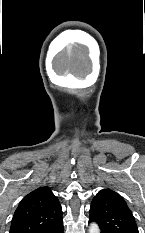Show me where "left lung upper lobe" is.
Listing matches in <instances>:
<instances>
[{"label":"left lung upper lobe","mask_w":145,"mask_h":233,"mask_svg":"<svg viewBox=\"0 0 145 233\" xmlns=\"http://www.w3.org/2000/svg\"><path fill=\"white\" fill-rule=\"evenodd\" d=\"M90 221L99 225L101 233H139L134 216L124 199L110 189H103L93 198Z\"/></svg>","instance_id":"obj_1"}]
</instances>
